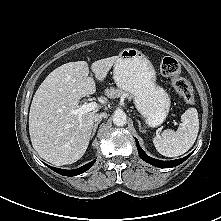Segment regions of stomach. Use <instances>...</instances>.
Returning a JSON list of instances; mask_svg holds the SVG:
<instances>
[{"label": "stomach", "mask_w": 221, "mask_h": 221, "mask_svg": "<svg viewBox=\"0 0 221 221\" xmlns=\"http://www.w3.org/2000/svg\"><path fill=\"white\" fill-rule=\"evenodd\" d=\"M113 79L120 89L133 97L136 109L149 127L164 122L170 109V97L156 84L155 69L141 51L123 49L114 63Z\"/></svg>", "instance_id": "1"}]
</instances>
